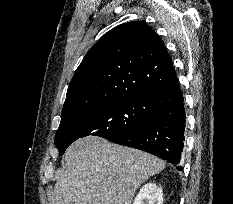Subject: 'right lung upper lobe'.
<instances>
[{
  "label": "right lung upper lobe",
  "instance_id": "obj_1",
  "mask_svg": "<svg viewBox=\"0 0 233 204\" xmlns=\"http://www.w3.org/2000/svg\"><path fill=\"white\" fill-rule=\"evenodd\" d=\"M175 78L171 57L154 30L139 21L121 24L99 39L78 66L58 129L108 103L151 95Z\"/></svg>",
  "mask_w": 233,
  "mask_h": 204
}]
</instances>
